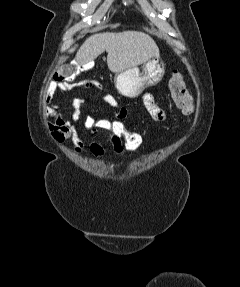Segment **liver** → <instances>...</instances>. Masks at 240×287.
<instances>
[{
    "label": "liver",
    "mask_w": 240,
    "mask_h": 287,
    "mask_svg": "<svg viewBox=\"0 0 240 287\" xmlns=\"http://www.w3.org/2000/svg\"><path fill=\"white\" fill-rule=\"evenodd\" d=\"M104 51L108 53L107 65L113 73H120L159 56V48L148 34L124 31L98 33L88 37L75 58L79 65H89Z\"/></svg>",
    "instance_id": "obj_1"
}]
</instances>
